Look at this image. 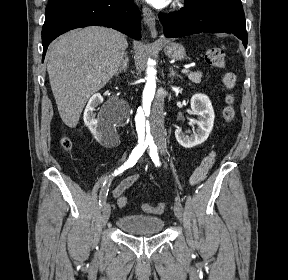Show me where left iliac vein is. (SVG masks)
<instances>
[{
    "label": "left iliac vein",
    "mask_w": 288,
    "mask_h": 280,
    "mask_svg": "<svg viewBox=\"0 0 288 280\" xmlns=\"http://www.w3.org/2000/svg\"><path fill=\"white\" fill-rule=\"evenodd\" d=\"M174 213L175 216L181 221L183 216V206L182 204L177 203V201L174 204Z\"/></svg>",
    "instance_id": "left-iliac-vein-1"
}]
</instances>
